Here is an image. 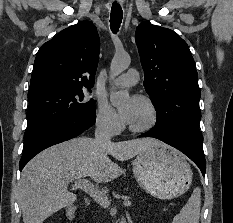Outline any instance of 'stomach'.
<instances>
[{
    "label": "stomach",
    "instance_id": "0dacf381",
    "mask_svg": "<svg viewBox=\"0 0 233 223\" xmlns=\"http://www.w3.org/2000/svg\"><path fill=\"white\" fill-rule=\"evenodd\" d=\"M132 167L142 189L159 199L178 197L192 183V169L182 153L164 143L140 151L133 159Z\"/></svg>",
    "mask_w": 233,
    "mask_h": 223
}]
</instances>
